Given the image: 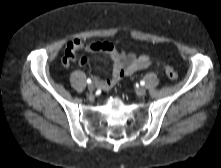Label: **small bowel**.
Wrapping results in <instances>:
<instances>
[{
  "label": "small bowel",
  "mask_w": 221,
  "mask_h": 168,
  "mask_svg": "<svg viewBox=\"0 0 221 168\" xmlns=\"http://www.w3.org/2000/svg\"><path fill=\"white\" fill-rule=\"evenodd\" d=\"M79 50H86L93 54H103L110 62L112 67L111 78L104 79L100 76L94 78L96 85L105 90L112 88L121 79L130 76L137 71L146 69L152 64V59L149 55L136 56L134 53L117 51L114 45L109 42L86 44L79 39H74L68 42L62 58V63L64 65H69L72 61H76L80 66L87 65V58H75V52Z\"/></svg>",
  "instance_id": "1"
}]
</instances>
